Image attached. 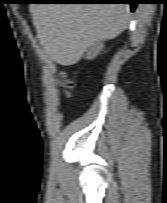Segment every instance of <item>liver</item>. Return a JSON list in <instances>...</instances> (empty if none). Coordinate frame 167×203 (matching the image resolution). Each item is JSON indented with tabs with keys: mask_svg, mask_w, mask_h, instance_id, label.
Masks as SVG:
<instances>
[{
	"mask_svg": "<svg viewBox=\"0 0 167 203\" xmlns=\"http://www.w3.org/2000/svg\"><path fill=\"white\" fill-rule=\"evenodd\" d=\"M31 11L41 45L63 66L77 63L96 42L117 37L129 19L123 4H33Z\"/></svg>",
	"mask_w": 167,
	"mask_h": 203,
	"instance_id": "obj_1",
	"label": "liver"
}]
</instances>
